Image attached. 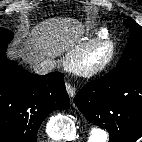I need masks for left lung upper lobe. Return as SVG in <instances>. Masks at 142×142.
Instances as JSON below:
<instances>
[{"label": "left lung upper lobe", "mask_w": 142, "mask_h": 142, "mask_svg": "<svg viewBox=\"0 0 142 142\" xmlns=\"http://www.w3.org/2000/svg\"><path fill=\"white\" fill-rule=\"evenodd\" d=\"M124 25L129 29L130 36L116 68L111 70L112 73L142 70V27L131 18L124 20Z\"/></svg>", "instance_id": "5c2ea615"}]
</instances>
